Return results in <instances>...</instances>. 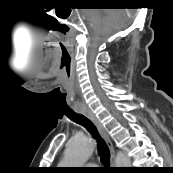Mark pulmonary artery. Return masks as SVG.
<instances>
[{"mask_svg": "<svg viewBox=\"0 0 173 173\" xmlns=\"http://www.w3.org/2000/svg\"><path fill=\"white\" fill-rule=\"evenodd\" d=\"M88 169H92L93 165L89 164L87 165Z\"/></svg>", "mask_w": 173, "mask_h": 173, "instance_id": "obj_1", "label": "pulmonary artery"}]
</instances>
